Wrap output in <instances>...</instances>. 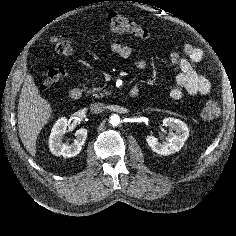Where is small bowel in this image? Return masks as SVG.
I'll return each instance as SVG.
<instances>
[{
	"instance_id": "1",
	"label": "small bowel",
	"mask_w": 236,
	"mask_h": 236,
	"mask_svg": "<svg viewBox=\"0 0 236 236\" xmlns=\"http://www.w3.org/2000/svg\"><path fill=\"white\" fill-rule=\"evenodd\" d=\"M113 53L123 59H132L136 68L142 69L146 66L144 59L133 58L132 49L122 43L113 42L110 44ZM184 56L178 52L171 54V62L179 67V73L176 76L177 86L172 88L169 96L172 100H179L184 93L188 95H205L210 92L211 84L205 74L198 73L194 64L200 62L203 57V51L191 44H185L182 48ZM138 89L137 87H135Z\"/></svg>"
}]
</instances>
